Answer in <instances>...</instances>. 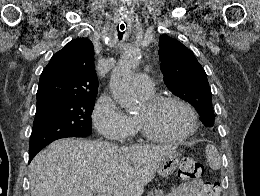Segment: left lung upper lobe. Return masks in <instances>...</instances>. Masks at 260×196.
<instances>
[{
    "label": "left lung upper lobe",
    "mask_w": 260,
    "mask_h": 196,
    "mask_svg": "<svg viewBox=\"0 0 260 196\" xmlns=\"http://www.w3.org/2000/svg\"><path fill=\"white\" fill-rule=\"evenodd\" d=\"M161 70L168 89L189 102L200 117L214 125L211 90L203 67L195 55L178 40L163 34L159 40Z\"/></svg>",
    "instance_id": "5c2ea615"
}]
</instances>
